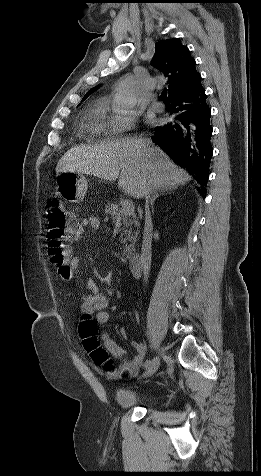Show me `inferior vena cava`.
<instances>
[{
  "mask_svg": "<svg viewBox=\"0 0 261 476\" xmlns=\"http://www.w3.org/2000/svg\"><path fill=\"white\" fill-rule=\"evenodd\" d=\"M142 147H148L149 143L145 144L144 142L141 144ZM153 187L151 186L150 182L147 181L143 187V195L145 198H149L150 194L153 192ZM149 202H146L145 205V226H144V233H143V241H142V248H141V256H140V265L144 275V281L147 282L150 272L151 266V241H152V220L149 210Z\"/></svg>",
  "mask_w": 261,
  "mask_h": 476,
  "instance_id": "inferior-vena-cava-1",
  "label": "inferior vena cava"
}]
</instances>
